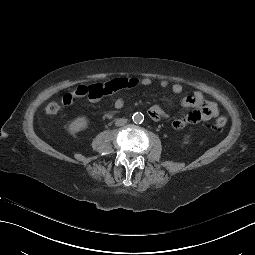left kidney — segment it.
<instances>
[{"mask_svg":"<svg viewBox=\"0 0 255 255\" xmlns=\"http://www.w3.org/2000/svg\"><path fill=\"white\" fill-rule=\"evenodd\" d=\"M184 141H185V143H188V142H189V137L186 136V137L184 138Z\"/></svg>","mask_w":255,"mask_h":255,"instance_id":"obj_1","label":"left kidney"}]
</instances>
